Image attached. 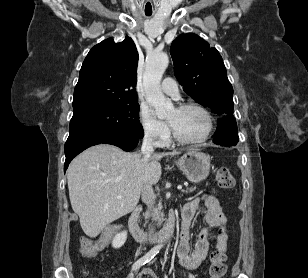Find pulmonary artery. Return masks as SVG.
Here are the masks:
<instances>
[{
    "label": "pulmonary artery",
    "instance_id": "pulmonary-artery-1",
    "mask_svg": "<svg viewBox=\"0 0 308 278\" xmlns=\"http://www.w3.org/2000/svg\"><path fill=\"white\" fill-rule=\"evenodd\" d=\"M161 90L174 97L178 98L179 97V90L177 83L172 79V78H165L161 84Z\"/></svg>",
    "mask_w": 308,
    "mask_h": 278
}]
</instances>
